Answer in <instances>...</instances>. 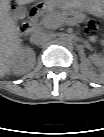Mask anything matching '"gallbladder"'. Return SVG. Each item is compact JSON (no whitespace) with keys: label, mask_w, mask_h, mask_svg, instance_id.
Returning a JSON list of instances; mask_svg holds the SVG:
<instances>
[{"label":"gallbladder","mask_w":104,"mask_h":137,"mask_svg":"<svg viewBox=\"0 0 104 137\" xmlns=\"http://www.w3.org/2000/svg\"><path fill=\"white\" fill-rule=\"evenodd\" d=\"M10 14L15 19H23L27 14V9L24 6L17 7L16 9L12 10Z\"/></svg>","instance_id":"1"}]
</instances>
